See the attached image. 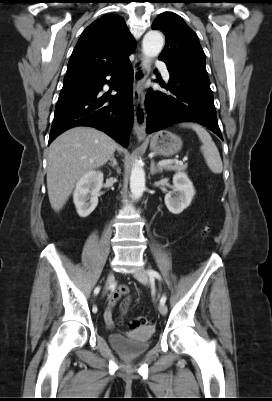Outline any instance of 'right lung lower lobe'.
I'll use <instances>...</instances> for the list:
<instances>
[{
    "mask_svg": "<svg viewBox=\"0 0 272 401\" xmlns=\"http://www.w3.org/2000/svg\"><path fill=\"white\" fill-rule=\"evenodd\" d=\"M110 75L116 95L103 93ZM133 68L127 58L101 77L62 90L56 104L49 144L62 132L76 126L98 128L123 146H128L133 124Z\"/></svg>",
    "mask_w": 272,
    "mask_h": 401,
    "instance_id": "right-lung-lower-lobe-1",
    "label": "right lung lower lobe"
}]
</instances>
